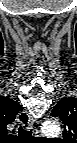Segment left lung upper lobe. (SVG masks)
Segmentation results:
<instances>
[{
    "label": "left lung upper lobe",
    "mask_w": 77,
    "mask_h": 143,
    "mask_svg": "<svg viewBox=\"0 0 77 143\" xmlns=\"http://www.w3.org/2000/svg\"><path fill=\"white\" fill-rule=\"evenodd\" d=\"M51 115L59 117L64 124L63 136L72 139L77 136V99L62 98L54 107Z\"/></svg>",
    "instance_id": "obj_1"
}]
</instances>
